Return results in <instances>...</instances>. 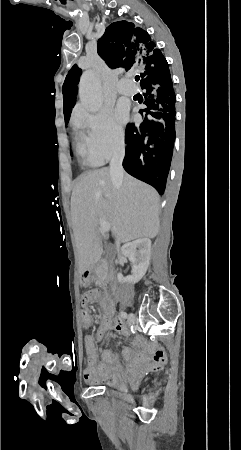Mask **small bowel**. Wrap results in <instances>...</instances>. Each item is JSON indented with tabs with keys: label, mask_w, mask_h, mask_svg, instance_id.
Returning a JSON list of instances; mask_svg holds the SVG:
<instances>
[{
	"label": "small bowel",
	"mask_w": 241,
	"mask_h": 450,
	"mask_svg": "<svg viewBox=\"0 0 241 450\" xmlns=\"http://www.w3.org/2000/svg\"><path fill=\"white\" fill-rule=\"evenodd\" d=\"M84 287L88 285H82ZM99 288L89 290L82 296V303L84 306L83 311H91V303L96 302L102 313L104 314V322L99 327L97 337L101 338L109 327H112L118 334L128 336L129 332L125 327L123 321L119 318L112 317L113 305L116 300H113L109 295L103 291L107 286L102 284ZM88 328L91 325H83ZM85 350L87 355V367L84 374L85 381L88 384H97L106 382L108 384H114L118 381H127L132 387L139 385L140 379L143 374L148 370L147 358L153 360L151 369L156 371L161 369L162 365L166 362V353L162 348H154L146 346V344L135 339L132 341V345L140 347L144 350L138 355L132 349L124 350L125 363L117 362L110 352H105L103 359L99 361L96 350V337L88 335L84 339Z\"/></svg>",
	"instance_id": "obj_1"
}]
</instances>
